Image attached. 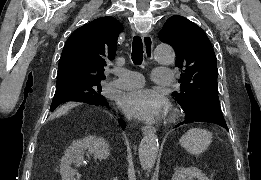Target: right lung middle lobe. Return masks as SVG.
<instances>
[{"instance_id": "1", "label": "right lung middle lobe", "mask_w": 261, "mask_h": 180, "mask_svg": "<svg viewBox=\"0 0 261 180\" xmlns=\"http://www.w3.org/2000/svg\"><path fill=\"white\" fill-rule=\"evenodd\" d=\"M100 80H68L56 83V91L52 100V111L62 103L79 101L84 103H96L104 101L101 95Z\"/></svg>"}]
</instances>
